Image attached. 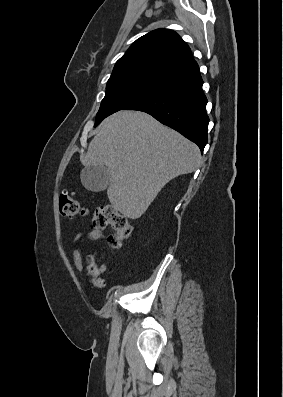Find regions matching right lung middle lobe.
Segmentation results:
<instances>
[{
    "label": "right lung middle lobe",
    "mask_w": 283,
    "mask_h": 397,
    "mask_svg": "<svg viewBox=\"0 0 283 397\" xmlns=\"http://www.w3.org/2000/svg\"><path fill=\"white\" fill-rule=\"evenodd\" d=\"M167 83L163 79L142 72L111 75L107 82L105 97L96 115L95 126L107 116L123 110Z\"/></svg>",
    "instance_id": "1"
}]
</instances>
